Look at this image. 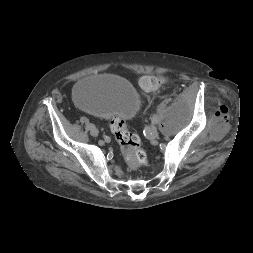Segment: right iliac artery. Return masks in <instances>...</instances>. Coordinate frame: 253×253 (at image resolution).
<instances>
[{"instance_id": "obj_1", "label": "right iliac artery", "mask_w": 253, "mask_h": 253, "mask_svg": "<svg viewBox=\"0 0 253 253\" xmlns=\"http://www.w3.org/2000/svg\"><path fill=\"white\" fill-rule=\"evenodd\" d=\"M87 127L89 128V129H92L93 127H95L93 124H91V123H88L87 124Z\"/></svg>"}]
</instances>
